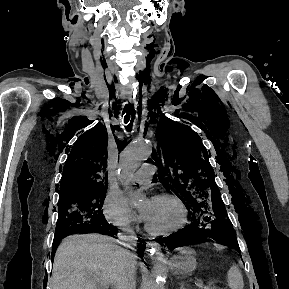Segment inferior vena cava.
I'll return each mask as SVG.
<instances>
[{"label":"inferior vena cava","mask_w":289,"mask_h":289,"mask_svg":"<svg viewBox=\"0 0 289 289\" xmlns=\"http://www.w3.org/2000/svg\"><path fill=\"white\" fill-rule=\"evenodd\" d=\"M128 236H124V239L131 245L136 244V236L134 231L129 228L125 227L123 229ZM136 260V255L134 253L129 252L128 260L126 266L123 270L120 282L118 284V289H136V281L134 276V264Z\"/></svg>","instance_id":"602c4592"}]
</instances>
